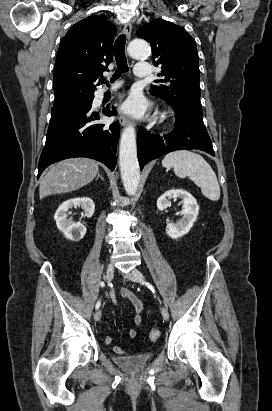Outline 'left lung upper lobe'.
I'll use <instances>...</instances> for the list:
<instances>
[{
    "instance_id": "left-lung-upper-lobe-1",
    "label": "left lung upper lobe",
    "mask_w": 272,
    "mask_h": 411,
    "mask_svg": "<svg viewBox=\"0 0 272 411\" xmlns=\"http://www.w3.org/2000/svg\"><path fill=\"white\" fill-rule=\"evenodd\" d=\"M137 36L150 42L155 66L162 77L151 94L167 101L179 117L203 119L200 103L199 60L195 40L180 26L155 19L140 27Z\"/></svg>"
}]
</instances>
